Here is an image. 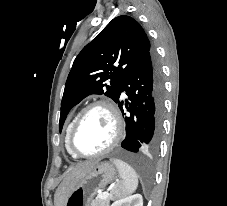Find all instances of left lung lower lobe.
Instances as JSON below:
<instances>
[{
	"label": "left lung lower lobe",
	"instance_id": "obj_1",
	"mask_svg": "<svg viewBox=\"0 0 227 206\" xmlns=\"http://www.w3.org/2000/svg\"><path fill=\"white\" fill-rule=\"evenodd\" d=\"M117 103L125 119L126 138L121 146L130 152L154 151L159 143L163 113L164 83L155 54L151 51L124 79ZM119 95V98H120Z\"/></svg>",
	"mask_w": 227,
	"mask_h": 206
}]
</instances>
